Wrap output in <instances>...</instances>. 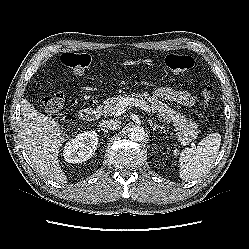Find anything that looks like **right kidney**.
I'll return each mask as SVG.
<instances>
[{"instance_id":"ca27d5eb","label":"right kidney","mask_w":249,"mask_h":249,"mask_svg":"<svg viewBox=\"0 0 249 249\" xmlns=\"http://www.w3.org/2000/svg\"><path fill=\"white\" fill-rule=\"evenodd\" d=\"M98 145V135L95 131H84L70 139L63 150V157L68 163H82L90 159Z\"/></svg>"}]
</instances>
